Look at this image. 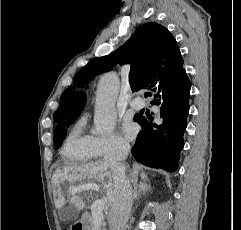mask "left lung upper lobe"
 <instances>
[{"label":"left lung upper lobe","mask_w":241,"mask_h":230,"mask_svg":"<svg viewBox=\"0 0 241 230\" xmlns=\"http://www.w3.org/2000/svg\"><path fill=\"white\" fill-rule=\"evenodd\" d=\"M85 102H86V95L82 93L78 96V98L74 102V107L70 113V117L68 120L69 124L73 123L79 117ZM68 123H66V125ZM65 136H66L65 126L62 123H60L57 125L55 129V135H54V143L57 148H59L62 145V142Z\"/></svg>","instance_id":"5c2ea615"}]
</instances>
